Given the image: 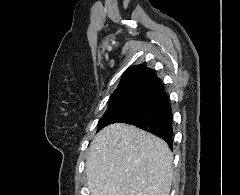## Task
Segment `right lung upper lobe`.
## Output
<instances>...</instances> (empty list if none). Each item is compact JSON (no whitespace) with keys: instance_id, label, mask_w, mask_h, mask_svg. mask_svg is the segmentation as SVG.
I'll use <instances>...</instances> for the list:
<instances>
[{"instance_id":"1","label":"right lung upper lobe","mask_w":240,"mask_h":195,"mask_svg":"<svg viewBox=\"0 0 240 195\" xmlns=\"http://www.w3.org/2000/svg\"><path fill=\"white\" fill-rule=\"evenodd\" d=\"M160 84L161 80L154 75L150 68L137 65L125 72L112 95L148 94Z\"/></svg>"}]
</instances>
